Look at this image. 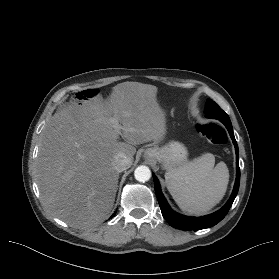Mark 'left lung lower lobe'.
Here are the masks:
<instances>
[{"instance_id": "1", "label": "left lung lower lobe", "mask_w": 279, "mask_h": 279, "mask_svg": "<svg viewBox=\"0 0 279 279\" xmlns=\"http://www.w3.org/2000/svg\"><path fill=\"white\" fill-rule=\"evenodd\" d=\"M223 124L226 126L231 139L233 141V144L235 146V151H236V169H237V174H236V181L234 185L233 192L231 194L230 199L228 202L217 212L203 216V217H188V216H183L180 215L176 212H174L168 203L166 202L160 188V184L158 179L156 178L155 175H153L154 179V184H155V192L157 196V200L159 202L161 212L165 220L174 228L181 229V230H200V229H205L212 227L219 223L225 215L228 213L235 197L237 196L238 189H239V183H240V168H239V152H238V145L234 137L233 133V127L231 122H223Z\"/></svg>"}]
</instances>
